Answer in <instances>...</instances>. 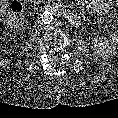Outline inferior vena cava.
<instances>
[{
    "label": "inferior vena cava",
    "mask_w": 118,
    "mask_h": 118,
    "mask_svg": "<svg viewBox=\"0 0 118 118\" xmlns=\"http://www.w3.org/2000/svg\"><path fill=\"white\" fill-rule=\"evenodd\" d=\"M37 23H38V24H40V21H39V20H37Z\"/></svg>",
    "instance_id": "1"
}]
</instances>
